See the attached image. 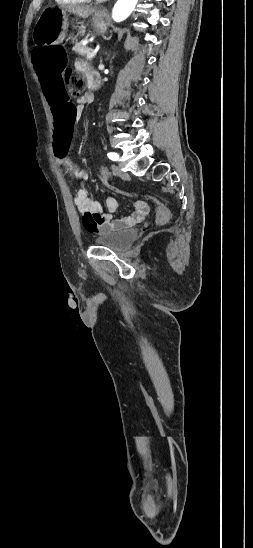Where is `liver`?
<instances>
[{"label":"liver","mask_w":253,"mask_h":548,"mask_svg":"<svg viewBox=\"0 0 253 548\" xmlns=\"http://www.w3.org/2000/svg\"><path fill=\"white\" fill-rule=\"evenodd\" d=\"M69 12L77 15L80 18L85 19L93 14L95 12V9L88 6H72L69 8Z\"/></svg>","instance_id":"1"}]
</instances>
